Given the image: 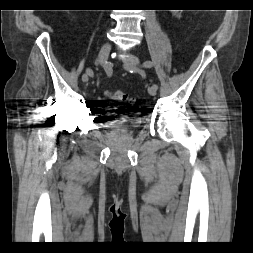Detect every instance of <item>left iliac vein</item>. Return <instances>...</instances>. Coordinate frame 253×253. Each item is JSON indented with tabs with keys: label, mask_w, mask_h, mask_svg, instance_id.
<instances>
[{
	"label": "left iliac vein",
	"mask_w": 253,
	"mask_h": 253,
	"mask_svg": "<svg viewBox=\"0 0 253 253\" xmlns=\"http://www.w3.org/2000/svg\"><path fill=\"white\" fill-rule=\"evenodd\" d=\"M139 64V60L134 57V56H131V55H128L126 60H125V63H124V68L126 70H137V65ZM148 93L151 95V96H155L156 93H157V88L154 87L153 85L150 86L148 88Z\"/></svg>",
	"instance_id": "4c4485c4"
}]
</instances>
